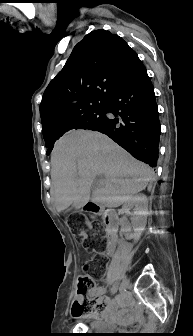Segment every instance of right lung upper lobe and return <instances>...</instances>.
I'll list each match as a JSON object with an SVG mask.
<instances>
[{"instance_id":"right-lung-upper-lobe-1","label":"right lung upper lobe","mask_w":193,"mask_h":336,"mask_svg":"<svg viewBox=\"0 0 193 336\" xmlns=\"http://www.w3.org/2000/svg\"><path fill=\"white\" fill-rule=\"evenodd\" d=\"M139 62L136 52L118 35L103 29L87 34L43 94L44 140L69 133L79 118L105 108Z\"/></svg>"}]
</instances>
